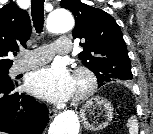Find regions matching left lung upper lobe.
I'll return each instance as SVG.
<instances>
[{
    "label": "left lung upper lobe",
    "mask_w": 153,
    "mask_h": 134,
    "mask_svg": "<svg viewBox=\"0 0 153 134\" xmlns=\"http://www.w3.org/2000/svg\"><path fill=\"white\" fill-rule=\"evenodd\" d=\"M61 6L75 17L73 37L83 40L79 58L94 72L99 86L117 79H132L126 43L114 18L79 0H61Z\"/></svg>",
    "instance_id": "obj_1"
}]
</instances>
